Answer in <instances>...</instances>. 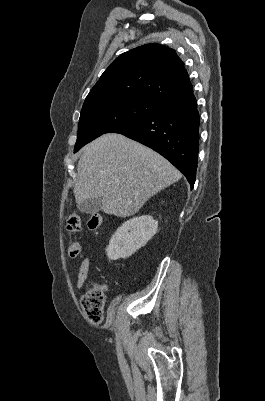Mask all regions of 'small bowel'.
<instances>
[{"label": "small bowel", "instance_id": "1", "mask_svg": "<svg viewBox=\"0 0 265 401\" xmlns=\"http://www.w3.org/2000/svg\"><path fill=\"white\" fill-rule=\"evenodd\" d=\"M89 268H90V258L84 257L79 266L78 274H77L76 288L78 290H80L83 287V285L85 284V282L88 278Z\"/></svg>", "mask_w": 265, "mask_h": 401}]
</instances>
